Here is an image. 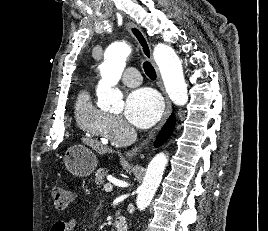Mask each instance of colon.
<instances>
[{
  "label": "colon",
  "instance_id": "1",
  "mask_svg": "<svg viewBox=\"0 0 268 231\" xmlns=\"http://www.w3.org/2000/svg\"><path fill=\"white\" fill-rule=\"evenodd\" d=\"M52 197L59 209H65L70 202V194L62 187H53L51 190Z\"/></svg>",
  "mask_w": 268,
  "mask_h": 231
}]
</instances>
